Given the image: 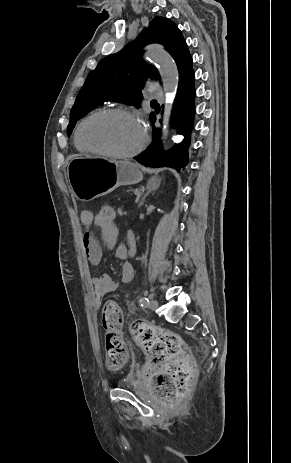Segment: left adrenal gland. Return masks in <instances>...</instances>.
<instances>
[{"label":"left adrenal gland","mask_w":291,"mask_h":463,"mask_svg":"<svg viewBox=\"0 0 291 463\" xmlns=\"http://www.w3.org/2000/svg\"><path fill=\"white\" fill-rule=\"evenodd\" d=\"M160 182L161 180L160 179H152L148 185H147V192L146 194H144V196L142 197L140 203H139V207H141L144 202H145V198L152 192V191H155L158 189V187L160 186Z\"/></svg>","instance_id":"obj_1"}]
</instances>
